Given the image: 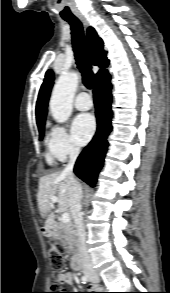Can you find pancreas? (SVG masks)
I'll list each match as a JSON object with an SVG mask.
<instances>
[{"mask_svg":"<svg viewBox=\"0 0 170 293\" xmlns=\"http://www.w3.org/2000/svg\"><path fill=\"white\" fill-rule=\"evenodd\" d=\"M53 235L70 253L75 252L76 232L72 223L59 222L54 228Z\"/></svg>","mask_w":170,"mask_h":293,"instance_id":"obj_1","label":"pancreas"}]
</instances>
